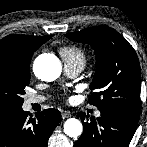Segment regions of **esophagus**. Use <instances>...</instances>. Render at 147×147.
I'll use <instances>...</instances> for the list:
<instances>
[{"instance_id": "34e87169", "label": "esophagus", "mask_w": 147, "mask_h": 147, "mask_svg": "<svg viewBox=\"0 0 147 147\" xmlns=\"http://www.w3.org/2000/svg\"><path fill=\"white\" fill-rule=\"evenodd\" d=\"M69 117H71V114L69 112L65 111V112L62 113V118L63 119H66V118H69Z\"/></svg>"}]
</instances>
